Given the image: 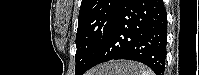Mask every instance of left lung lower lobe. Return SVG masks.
I'll use <instances>...</instances> for the list:
<instances>
[{
	"label": "left lung lower lobe",
	"instance_id": "0a47b994",
	"mask_svg": "<svg viewBox=\"0 0 199 75\" xmlns=\"http://www.w3.org/2000/svg\"><path fill=\"white\" fill-rule=\"evenodd\" d=\"M166 44L167 13L163 1L126 0L89 69L110 60L127 59L149 66L156 75H164Z\"/></svg>",
	"mask_w": 199,
	"mask_h": 75
}]
</instances>
